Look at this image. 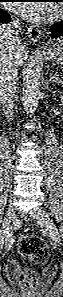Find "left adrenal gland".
Masks as SVG:
<instances>
[{
	"label": "left adrenal gland",
	"instance_id": "left-adrenal-gland-1",
	"mask_svg": "<svg viewBox=\"0 0 63 297\" xmlns=\"http://www.w3.org/2000/svg\"><path fill=\"white\" fill-rule=\"evenodd\" d=\"M54 71L51 70L50 71V79L49 81L52 82L53 84L57 83V84H61L62 83V80L58 77L57 74H53Z\"/></svg>",
	"mask_w": 63,
	"mask_h": 297
}]
</instances>
